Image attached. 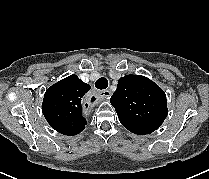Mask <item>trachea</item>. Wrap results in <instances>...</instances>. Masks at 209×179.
<instances>
[{
    "label": "trachea",
    "instance_id": "obj_1",
    "mask_svg": "<svg viewBox=\"0 0 209 179\" xmlns=\"http://www.w3.org/2000/svg\"><path fill=\"white\" fill-rule=\"evenodd\" d=\"M95 87L97 89H106L108 87V80L104 77L99 78L96 82H95Z\"/></svg>",
    "mask_w": 209,
    "mask_h": 179
}]
</instances>
